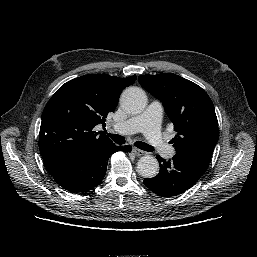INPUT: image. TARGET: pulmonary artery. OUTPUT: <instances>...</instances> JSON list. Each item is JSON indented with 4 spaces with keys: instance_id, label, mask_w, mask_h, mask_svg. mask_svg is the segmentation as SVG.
<instances>
[{
    "instance_id": "obj_1",
    "label": "pulmonary artery",
    "mask_w": 257,
    "mask_h": 257,
    "mask_svg": "<svg viewBox=\"0 0 257 257\" xmlns=\"http://www.w3.org/2000/svg\"><path fill=\"white\" fill-rule=\"evenodd\" d=\"M163 107L160 102L153 101L139 115L123 122H114L113 128L122 134L143 132L154 150L164 158H171L174 149L166 143L160 131Z\"/></svg>"
}]
</instances>
